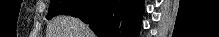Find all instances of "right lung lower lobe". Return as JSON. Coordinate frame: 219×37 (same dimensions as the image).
<instances>
[{"label":"right lung lower lobe","instance_id":"right-lung-lower-lobe-1","mask_svg":"<svg viewBox=\"0 0 219 37\" xmlns=\"http://www.w3.org/2000/svg\"><path fill=\"white\" fill-rule=\"evenodd\" d=\"M64 14L78 17L98 37H137L142 0H82Z\"/></svg>","mask_w":219,"mask_h":37}]
</instances>
